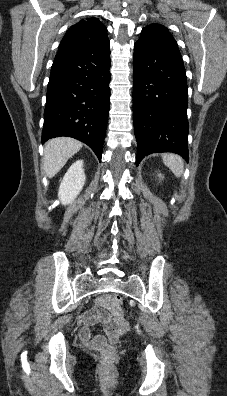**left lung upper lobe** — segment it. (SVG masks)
Masks as SVG:
<instances>
[{
    "mask_svg": "<svg viewBox=\"0 0 227 396\" xmlns=\"http://www.w3.org/2000/svg\"><path fill=\"white\" fill-rule=\"evenodd\" d=\"M141 39L144 40H158L177 45L173 36L169 33L168 29L163 25L153 23L142 29Z\"/></svg>",
    "mask_w": 227,
    "mask_h": 396,
    "instance_id": "left-lung-upper-lobe-1",
    "label": "left lung upper lobe"
}]
</instances>
